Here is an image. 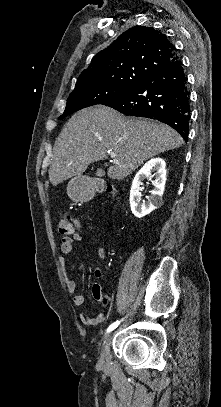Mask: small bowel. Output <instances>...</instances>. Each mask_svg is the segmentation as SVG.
<instances>
[{
  "instance_id": "obj_1",
  "label": "small bowel",
  "mask_w": 221,
  "mask_h": 407,
  "mask_svg": "<svg viewBox=\"0 0 221 407\" xmlns=\"http://www.w3.org/2000/svg\"><path fill=\"white\" fill-rule=\"evenodd\" d=\"M84 236L81 233H74L72 237H63L60 241V251L62 255H70L73 249V242H82ZM96 255L99 259H104L106 254L105 250L101 247L96 248ZM59 263L63 266L65 259L63 256L59 257ZM65 274V272H64ZM92 274L96 279L92 285V297L97 303H104L108 301V297L102 292L99 282L97 281L101 277V271L98 268L92 269ZM65 286L70 293L72 302L76 306H81L84 303V296L77 292V283L74 279L65 276ZM80 321L85 325H98L103 322L104 317L102 314H98L94 317H90L85 313L79 314Z\"/></svg>"
}]
</instances>
